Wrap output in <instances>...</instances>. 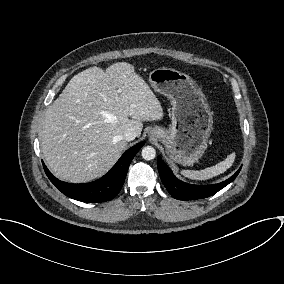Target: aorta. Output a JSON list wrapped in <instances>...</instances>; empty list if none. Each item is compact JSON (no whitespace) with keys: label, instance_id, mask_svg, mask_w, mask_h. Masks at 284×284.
<instances>
[{"label":"aorta","instance_id":"aorta-1","mask_svg":"<svg viewBox=\"0 0 284 284\" xmlns=\"http://www.w3.org/2000/svg\"><path fill=\"white\" fill-rule=\"evenodd\" d=\"M141 155L145 160H152L156 156V150L152 146H145L142 149Z\"/></svg>","mask_w":284,"mask_h":284}]
</instances>
